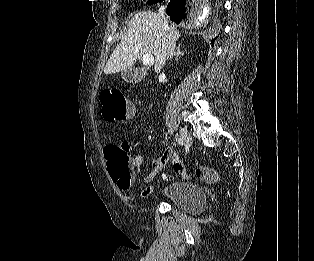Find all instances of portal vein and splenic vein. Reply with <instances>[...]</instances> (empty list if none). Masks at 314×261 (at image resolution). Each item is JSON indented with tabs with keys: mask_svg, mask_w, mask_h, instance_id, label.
I'll return each instance as SVG.
<instances>
[{
	"mask_svg": "<svg viewBox=\"0 0 314 261\" xmlns=\"http://www.w3.org/2000/svg\"><path fill=\"white\" fill-rule=\"evenodd\" d=\"M141 60H142V63L146 66H152L155 63V59L153 55L150 53L143 54Z\"/></svg>",
	"mask_w": 314,
	"mask_h": 261,
	"instance_id": "portal-vein-and-splenic-vein-1",
	"label": "portal vein and splenic vein"
}]
</instances>
